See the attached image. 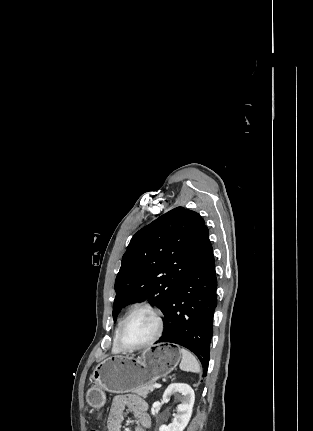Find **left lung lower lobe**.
Masks as SVG:
<instances>
[{"label": "left lung lower lobe", "mask_w": 313, "mask_h": 431, "mask_svg": "<svg viewBox=\"0 0 313 431\" xmlns=\"http://www.w3.org/2000/svg\"><path fill=\"white\" fill-rule=\"evenodd\" d=\"M217 279L209 241L196 264L169 300L163 314L165 329L156 343L179 344L200 360L204 376L210 359Z\"/></svg>", "instance_id": "1"}]
</instances>
